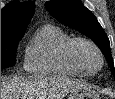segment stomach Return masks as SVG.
<instances>
[{
    "mask_svg": "<svg viewBox=\"0 0 115 99\" xmlns=\"http://www.w3.org/2000/svg\"><path fill=\"white\" fill-rule=\"evenodd\" d=\"M67 99H100L98 93L87 86L72 91Z\"/></svg>",
    "mask_w": 115,
    "mask_h": 99,
    "instance_id": "0dacf381",
    "label": "stomach"
}]
</instances>
